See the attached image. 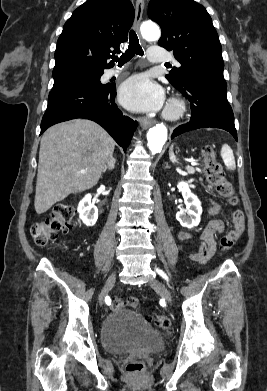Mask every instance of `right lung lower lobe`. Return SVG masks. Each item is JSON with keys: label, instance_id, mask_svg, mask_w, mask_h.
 I'll list each match as a JSON object with an SVG mask.
<instances>
[{"label": "right lung lower lobe", "instance_id": "98d812e1", "mask_svg": "<svg viewBox=\"0 0 267 391\" xmlns=\"http://www.w3.org/2000/svg\"><path fill=\"white\" fill-rule=\"evenodd\" d=\"M115 95V85L111 84L83 83L52 89L41 122V133L56 123L86 118L100 124L126 151L137 122L124 116L117 108Z\"/></svg>", "mask_w": 267, "mask_h": 391}]
</instances>
